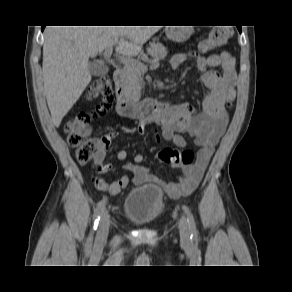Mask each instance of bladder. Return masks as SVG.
<instances>
[{"instance_id": "1", "label": "bladder", "mask_w": 292, "mask_h": 292, "mask_svg": "<svg viewBox=\"0 0 292 292\" xmlns=\"http://www.w3.org/2000/svg\"><path fill=\"white\" fill-rule=\"evenodd\" d=\"M164 207L162 191L154 185H141L126 197L123 214L136 226L143 227L153 223Z\"/></svg>"}]
</instances>
